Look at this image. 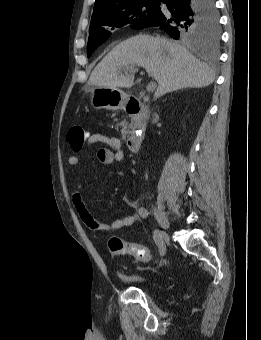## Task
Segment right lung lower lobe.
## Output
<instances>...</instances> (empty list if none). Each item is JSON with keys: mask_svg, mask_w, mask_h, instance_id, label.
I'll return each instance as SVG.
<instances>
[{"mask_svg": "<svg viewBox=\"0 0 261 340\" xmlns=\"http://www.w3.org/2000/svg\"><path fill=\"white\" fill-rule=\"evenodd\" d=\"M161 2L165 5L147 27H160L174 39H177L179 24L192 14L197 13L199 16L217 14L215 0H162Z\"/></svg>", "mask_w": 261, "mask_h": 340, "instance_id": "right-lung-lower-lobe-1", "label": "right lung lower lobe"}]
</instances>
